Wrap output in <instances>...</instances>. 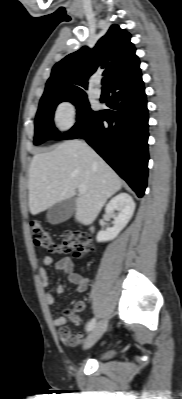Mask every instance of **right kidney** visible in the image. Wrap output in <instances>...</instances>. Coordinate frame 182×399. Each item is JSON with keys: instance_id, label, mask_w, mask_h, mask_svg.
<instances>
[{"instance_id": "1", "label": "right kidney", "mask_w": 182, "mask_h": 399, "mask_svg": "<svg viewBox=\"0 0 182 399\" xmlns=\"http://www.w3.org/2000/svg\"><path fill=\"white\" fill-rule=\"evenodd\" d=\"M115 210L118 211V214L114 217V226L105 231H99L96 237L97 242L113 240L128 224L135 210L132 197L127 193H120L112 198L106 205L105 212L113 214Z\"/></svg>"}]
</instances>
